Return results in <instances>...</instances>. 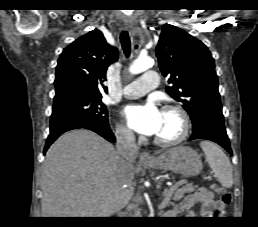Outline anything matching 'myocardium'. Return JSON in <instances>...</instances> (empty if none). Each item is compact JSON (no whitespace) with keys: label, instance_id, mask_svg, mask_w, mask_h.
Masks as SVG:
<instances>
[{"label":"myocardium","instance_id":"f54148a6","mask_svg":"<svg viewBox=\"0 0 258 227\" xmlns=\"http://www.w3.org/2000/svg\"><path fill=\"white\" fill-rule=\"evenodd\" d=\"M162 112H173L178 115L181 121V131L175 138L172 139H162L155 136L154 143L161 147H172L181 143L187 138L191 126L190 118L186 110L176 105H165Z\"/></svg>","mask_w":258,"mask_h":227}]
</instances>
